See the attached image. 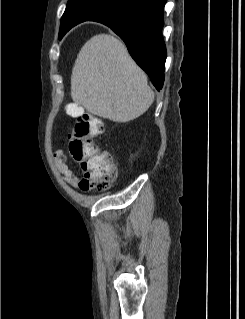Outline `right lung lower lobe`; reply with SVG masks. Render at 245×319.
Listing matches in <instances>:
<instances>
[{
  "label": "right lung lower lobe",
  "mask_w": 245,
  "mask_h": 319,
  "mask_svg": "<svg viewBox=\"0 0 245 319\" xmlns=\"http://www.w3.org/2000/svg\"><path fill=\"white\" fill-rule=\"evenodd\" d=\"M167 0H127L93 19L109 26L159 91L164 82L166 47L162 37Z\"/></svg>",
  "instance_id": "1"
}]
</instances>
